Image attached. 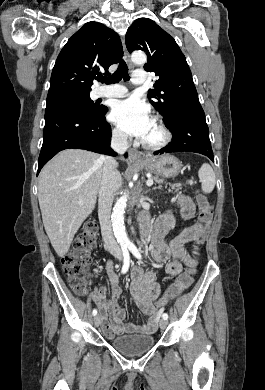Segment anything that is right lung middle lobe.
<instances>
[{"label": "right lung middle lobe", "instance_id": "dd1d6c3e", "mask_svg": "<svg viewBox=\"0 0 265 390\" xmlns=\"http://www.w3.org/2000/svg\"><path fill=\"white\" fill-rule=\"evenodd\" d=\"M50 108H76L88 114H99L104 106L94 103L89 94H73L46 101V109Z\"/></svg>", "mask_w": 265, "mask_h": 390}]
</instances>
